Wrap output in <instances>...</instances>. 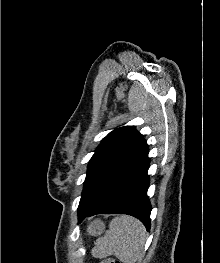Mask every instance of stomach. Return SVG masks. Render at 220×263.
Instances as JSON below:
<instances>
[{"label": "stomach", "instance_id": "stomach-1", "mask_svg": "<svg viewBox=\"0 0 220 263\" xmlns=\"http://www.w3.org/2000/svg\"><path fill=\"white\" fill-rule=\"evenodd\" d=\"M104 229V223L100 220H95L89 224L87 232L92 236H97L103 233Z\"/></svg>", "mask_w": 220, "mask_h": 263}]
</instances>
